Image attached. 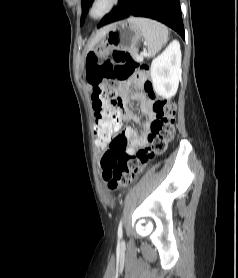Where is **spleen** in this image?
Instances as JSON below:
<instances>
[{
	"label": "spleen",
	"mask_w": 238,
	"mask_h": 278,
	"mask_svg": "<svg viewBox=\"0 0 238 278\" xmlns=\"http://www.w3.org/2000/svg\"><path fill=\"white\" fill-rule=\"evenodd\" d=\"M128 20L137 25L141 30L149 57L155 56L162 46L167 43L169 32L163 24L140 17H131Z\"/></svg>",
	"instance_id": "spleen-1"
}]
</instances>
